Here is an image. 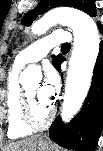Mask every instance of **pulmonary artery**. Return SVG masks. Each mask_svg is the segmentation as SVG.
Here are the masks:
<instances>
[{"label": "pulmonary artery", "mask_w": 103, "mask_h": 151, "mask_svg": "<svg viewBox=\"0 0 103 151\" xmlns=\"http://www.w3.org/2000/svg\"><path fill=\"white\" fill-rule=\"evenodd\" d=\"M70 40L71 35L68 32L63 30L55 31L26 47L17 55L15 61L21 66L37 62L44 58L53 47L66 44Z\"/></svg>", "instance_id": "1"}]
</instances>
